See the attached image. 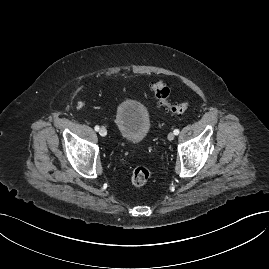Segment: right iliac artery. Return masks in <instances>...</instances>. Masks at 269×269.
I'll list each match as a JSON object with an SVG mask.
<instances>
[{"mask_svg": "<svg viewBox=\"0 0 269 269\" xmlns=\"http://www.w3.org/2000/svg\"><path fill=\"white\" fill-rule=\"evenodd\" d=\"M94 129H95V131H99L100 128L98 125H96Z\"/></svg>", "mask_w": 269, "mask_h": 269, "instance_id": "82829eb1", "label": "right iliac artery"}]
</instances>
